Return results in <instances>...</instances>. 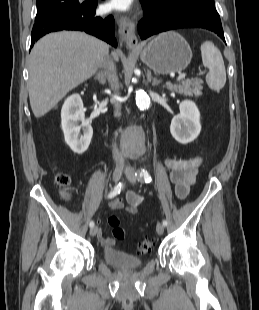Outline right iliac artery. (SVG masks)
Wrapping results in <instances>:
<instances>
[{"mask_svg": "<svg viewBox=\"0 0 259 310\" xmlns=\"http://www.w3.org/2000/svg\"><path fill=\"white\" fill-rule=\"evenodd\" d=\"M122 188H123V184H122V183L117 184V185L112 189V191L109 193L108 198H113V197H115L116 195H118V194L121 192ZM89 226H90L91 228L94 227V222L91 221V222L89 223Z\"/></svg>", "mask_w": 259, "mask_h": 310, "instance_id": "1", "label": "right iliac artery"}]
</instances>
